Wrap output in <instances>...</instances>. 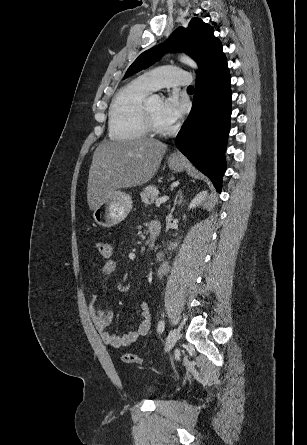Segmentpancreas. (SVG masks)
I'll return each mask as SVG.
<instances>
[{
    "label": "pancreas",
    "mask_w": 307,
    "mask_h": 445,
    "mask_svg": "<svg viewBox=\"0 0 307 445\" xmlns=\"http://www.w3.org/2000/svg\"><path fill=\"white\" fill-rule=\"evenodd\" d=\"M157 186L151 184V186H146L143 188L142 192H140L142 202H154L156 196Z\"/></svg>",
    "instance_id": "obj_1"
}]
</instances>
